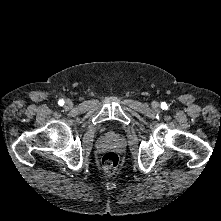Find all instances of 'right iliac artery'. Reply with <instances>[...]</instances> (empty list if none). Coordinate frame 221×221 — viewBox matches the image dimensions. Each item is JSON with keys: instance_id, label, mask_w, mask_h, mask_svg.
<instances>
[{"instance_id": "obj_1", "label": "right iliac artery", "mask_w": 221, "mask_h": 221, "mask_svg": "<svg viewBox=\"0 0 221 221\" xmlns=\"http://www.w3.org/2000/svg\"><path fill=\"white\" fill-rule=\"evenodd\" d=\"M58 104H59L60 106H63V105H64V100H63V99H60V100L58 101Z\"/></svg>"}]
</instances>
